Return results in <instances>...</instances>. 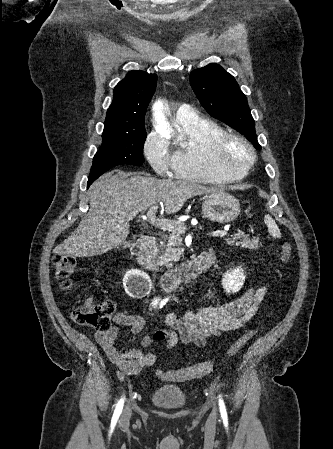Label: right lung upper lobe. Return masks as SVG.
<instances>
[{
    "label": "right lung upper lobe",
    "mask_w": 333,
    "mask_h": 449,
    "mask_svg": "<svg viewBox=\"0 0 333 449\" xmlns=\"http://www.w3.org/2000/svg\"><path fill=\"white\" fill-rule=\"evenodd\" d=\"M157 75L130 71L114 89L103 134L134 135L144 128V117L154 94Z\"/></svg>",
    "instance_id": "right-lung-upper-lobe-1"
}]
</instances>
